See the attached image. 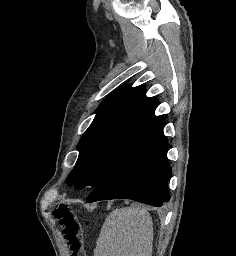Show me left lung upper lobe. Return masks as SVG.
Here are the masks:
<instances>
[{"mask_svg":"<svg viewBox=\"0 0 236 256\" xmlns=\"http://www.w3.org/2000/svg\"><path fill=\"white\" fill-rule=\"evenodd\" d=\"M158 100L144 86H125L109 95L81 137L78 160L67 184L95 188L111 171L133 135L154 115Z\"/></svg>","mask_w":236,"mask_h":256,"instance_id":"left-lung-upper-lobe-1","label":"left lung upper lobe"}]
</instances>
